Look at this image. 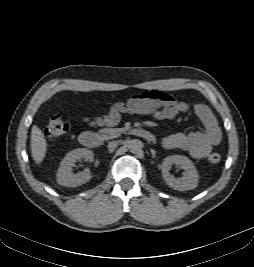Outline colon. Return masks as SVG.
<instances>
[{
	"mask_svg": "<svg viewBox=\"0 0 254 267\" xmlns=\"http://www.w3.org/2000/svg\"><path fill=\"white\" fill-rule=\"evenodd\" d=\"M69 129V122L62 115L55 114L49 120L45 129V135L50 139H54L64 135ZM207 161L210 165L216 166L221 162V156L218 153H212L208 156Z\"/></svg>",
	"mask_w": 254,
	"mask_h": 267,
	"instance_id": "1",
	"label": "colon"
}]
</instances>
